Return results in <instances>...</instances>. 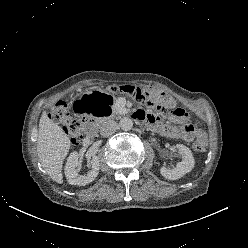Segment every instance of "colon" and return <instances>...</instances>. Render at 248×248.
<instances>
[{"instance_id":"colon-1","label":"colon","mask_w":248,"mask_h":248,"mask_svg":"<svg viewBox=\"0 0 248 248\" xmlns=\"http://www.w3.org/2000/svg\"><path fill=\"white\" fill-rule=\"evenodd\" d=\"M112 90L124 92L138 102L153 107L158 113L167 114L176 119H186L187 117L186 112L183 109L178 108L172 97L167 93L156 90H144L131 85L113 87ZM50 116L56 123L63 127L73 144H79L81 142V121L71 114L69 106L65 102H57L53 106ZM205 146L206 141L203 139H197L193 143V149L197 152L204 151Z\"/></svg>"}]
</instances>
